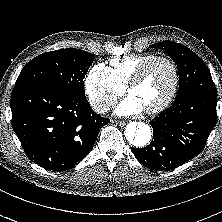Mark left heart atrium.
Masks as SVG:
<instances>
[{"instance_id": "39dd6f15", "label": "left heart atrium", "mask_w": 222, "mask_h": 222, "mask_svg": "<svg viewBox=\"0 0 222 222\" xmlns=\"http://www.w3.org/2000/svg\"><path fill=\"white\" fill-rule=\"evenodd\" d=\"M144 106L140 100L133 94L128 95L117 107L116 113L118 115L128 116L142 112Z\"/></svg>"}]
</instances>
